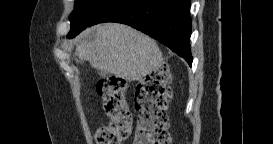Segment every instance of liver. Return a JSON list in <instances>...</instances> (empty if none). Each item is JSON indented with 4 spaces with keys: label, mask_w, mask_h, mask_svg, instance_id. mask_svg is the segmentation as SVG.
<instances>
[{
    "label": "liver",
    "mask_w": 273,
    "mask_h": 144,
    "mask_svg": "<svg viewBox=\"0 0 273 144\" xmlns=\"http://www.w3.org/2000/svg\"><path fill=\"white\" fill-rule=\"evenodd\" d=\"M76 52L80 60L89 61L93 68L128 81H141L163 61L153 39L119 23L87 29Z\"/></svg>",
    "instance_id": "liver-1"
}]
</instances>
